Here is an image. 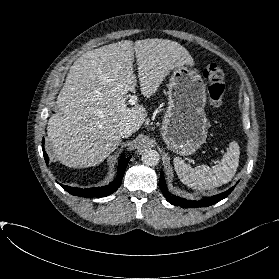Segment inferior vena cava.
<instances>
[{
  "mask_svg": "<svg viewBox=\"0 0 279 279\" xmlns=\"http://www.w3.org/2000/svg\"><path fill=\"white\" fill-rule=\"evenodd\" d=\"M133 133V129L130 126H126L122 131H121V137L122 138H127Z\"/></svg>",
  "mask_w": 279,
  "mask_h": 279,
  "instance_id": "602c4592",
  "label": "inferior vena cava"
}]
</instances>
